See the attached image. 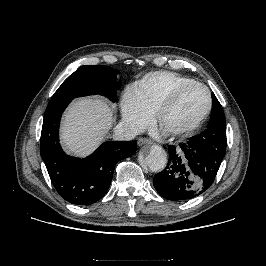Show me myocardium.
Segmentation results:
<instances>
[{"label":"myocardium","mask_w":266,"mask_h":266,"mask_svg":"<svg viewBox=\"0 0 266 266\" xmlns=\"http://www.w3.org/2000/svg\"><path fill=\"white\" fill-rule=\"evenodd\" d=\"M190 87H199L205 91L206 96H207V106H206L205 110L203 111V113L197 119H195L194 121H192L191 123H189L187 125L176 127V128H171V129L162 128L160 121H161V117H162L163 113L169 107L172 106V104L175 102L177 97L184 90H186ZM212 104H213L212 95H211V92L208 89V87H206L204 84L196 82V81L184 83V84H181V85L173 88L160 101V103L157 105V107L155 108V111L153 113L154 120H155L156 124L159 125L164 130V132H166L168 134L180 135V134L189 133V132H192L193 130H195L196 128H198L204 122V120L208 117V115L212 109Z\"/></svg>","instance_id":"1"}]
</instances>
